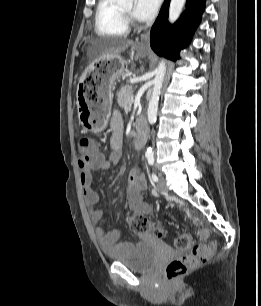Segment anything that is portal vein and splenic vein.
Returning a JSON list of instances; mask_svg holds the SVG:
<instances>
[{"mask_svg":"<svg viewBox=\"0 0 261 306\" xmlns=\"http://www.w3.org/2000/svg\"><path fill=\"white\" fill-rule=\"evenodd\" d=\"M133 103V97L131 98V104Z\"/></svg>","mask_w":261,"mask_h":306,"instance_id":"1","label":"portal vein and splenic vein"}]
</instances>
